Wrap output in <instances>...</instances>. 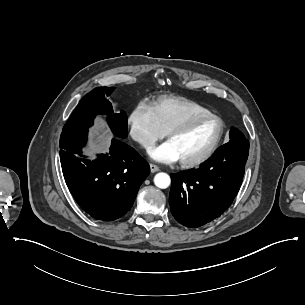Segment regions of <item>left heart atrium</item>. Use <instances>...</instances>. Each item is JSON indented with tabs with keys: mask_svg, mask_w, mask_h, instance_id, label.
<instances>
[{
	"mask_svg": "<svg viewBox=\"0 0 305 305\" xmlns=\"http://www.w3.org/2000/svg\"><path fill=\"white\" fill-rule=\"evenodd\" d=\"M149 155L153 160L159 162H175L180 160L179 153L170 140L162 143L158 147L153 148L149 152Z\"/></svg>",
	"mask_w": 305,
	"mask_h": 305,
	"instance_id": "left-heart-atrium-1",
	"label": "left heart atrium"
}]
</instances>
